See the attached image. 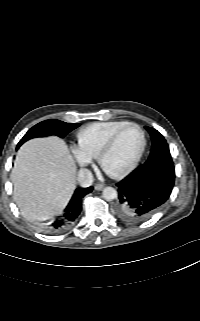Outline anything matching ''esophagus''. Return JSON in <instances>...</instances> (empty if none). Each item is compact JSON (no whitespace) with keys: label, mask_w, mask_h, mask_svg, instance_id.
Masks as SVG:
<instances>
[{"label":"esophagus","mask_w":200,"mask_h":321,"mask_svg":"<svg viewBox=\"0 0 200 321\" xmlns=\"http://www.w3.org/2000/svg\"><path fill=\"white\" fill-rule=\"evenodd\" d=\"M104 187H105V185H103V184H96V185H95V190L101 191V190L104 189Z\"/></svg>","instance_id":"34e87169"}]
</instances>
